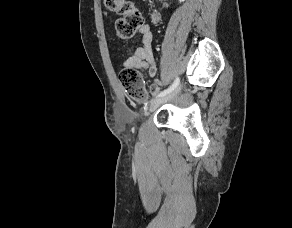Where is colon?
<instances>
[{
  "mask_svg": "<svg viewBox=\"0 0 292 228\" xmlns=\"http://www.w3.org/2000/svg\"><path fill=\"white\" fill-rule=\"evenodd\" d=\"M104 5L110 12L120 16L115 23V33L120 40L131 38L145 24L143 15L129 0H104ZM119 80L132 100H146L147 93L139 70L124 68L119 73Z\"/></svg>",
  "mask_w": 292,
  "mask_h": 228,
  "instance_id": "1",
  "label": "colon"
}]
</instances>
